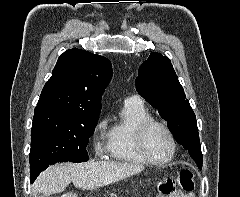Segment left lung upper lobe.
<instances>
[{
    "label": "left lung upper lobe",
    "instance_id": "obj_1",
    "mask_svg": "<svg viewBox=\"0 0 240 197\" xmlns=\"http://www.w3.org/2000/svg\"><path fill=\"white\" fill-rule=\"evenodd\" d=\"M136 78L137 92L167 121L176 141L188 150L202 168V152L196 116L186 99L171 61L153 52L142 63Z\"/></svg>",
    "mask_w": 240,
    "mask_h": 197
}]
</instances>
